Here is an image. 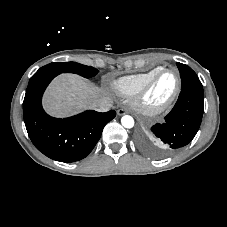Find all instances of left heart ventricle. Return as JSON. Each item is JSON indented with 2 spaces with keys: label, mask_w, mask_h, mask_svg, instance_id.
<instances>
[{
  "label": "left heart ventricle",
  "mask_w": 227,
  "mask_h": 227,
  "mask_svg": "<svg viewBox=\"0 0 227 227\" xmlns=\"http://www.w3.org/2000/svg\"><path fill=\"white\" fill-rule=\"evenodd\" d=\"M176 86V76L173 72L163 73L155 82L146 96V103L150 105H159L165 102Z\"/></svg>",
  "instance_id": "obj_1"
}]
</instances>
